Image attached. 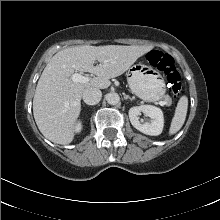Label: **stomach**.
Instances as JSON below:
<instances>
[{
    "mask_svg": "<svg viewBox=\"0 0 220 220\" xmlns=\"http://www.w3.org/2000/svg\"><path fill=\"white\" fill-rule=\"evenodd\" d=\"M127 81L132 93L144 101H158L166 92V82L162 75L141 63L129 68Z\"/></svg>",
    "mask_w": 220,
    "mask_h": 220,
    "instance_id": "1",
    "label": "stomach"
}]
</instances>
